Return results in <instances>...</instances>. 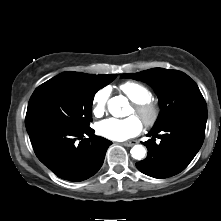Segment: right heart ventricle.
I'll return each instance as SVG.
<instances>
[{
	"label": "right heart ventricle",
	"instance_id": "e07e8e85",
	"mask_svg": "<svg viewBox=\"0 0 221 221\" xmlns=\"http://www.w3.org/2000/svg\"><path fill=\"white\" fill-rule=\"evenodd\" d=\"M119 89L133 103L150 101L152 97L148 87L135 81L124 82L119 86Z\"/></svg>",
	"mask_w": 221,
	"mask_h": 221
}]
</instances>
